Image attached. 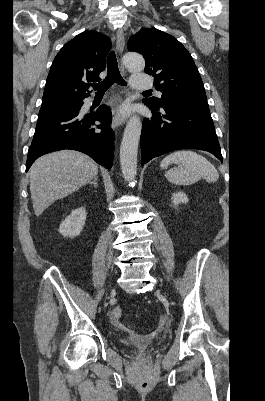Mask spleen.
<instances>
[{
	"label": "spleen",
	"instance_id": "3e777b00",
	"mask_svg": "<svg viewBox=\"0 0 265 401\" xmlns=\"http://www.w3.org/2000/svg\"><path fill=\"white\" fill-rule=\"evenodd\" d=\"M169 164H179L170 170H165V176L172 184L188 186L194 184L200 178L206 182H215L219 178L218 170L205 156L193 152V150H175L165 156L160 162L161 168H168Z\"/></svg>",
	"mask_w": 265,
	"mask_h": 401
}]
</instances>
